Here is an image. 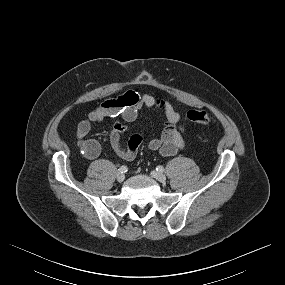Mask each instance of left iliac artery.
Returning a JSON list of instances; mask_svg holds the SVG:
<instances>
[{
	"instance_id": "left-iliac-artery-1",
	"label": "left iliac artery",
	"mask_w": 285,
	"mask_h": 285,
	"mask_svg": "<svg viewBox=\"0 0 285 285\" xmlns=\"http://www.w3.org/2000/svg\"><path fill=\"white\" fill-rule=\"evenodd\" d=\"M156 170L159 171V172H163L164 171V167L159 165V166H157Z\"/></svg>"
}]
</instances>
